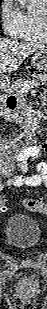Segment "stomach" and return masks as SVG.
<instances>
[{
  "mask_svg": "<svg viewBox=\"0 0 47 309\" xmlns=\"http://www.w3.org/2000/svg\"><path fill=\"white\" fill-rule=\"evenodd\" d=\"M31 64L38 69L47 71V46L35 52L31 58Z\"/></svg>",
  "mask_w": 47,
  "mask_h": 309,
  "instance_id": "stomach-1",
  "label": "stomach"
}]
</instances>
